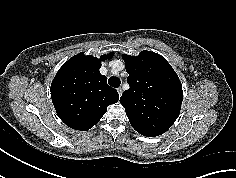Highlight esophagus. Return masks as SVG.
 Returning <instances> with one entry per match:
<instances>
[{
	"label": "esophagus",
	"instance_id": "esophagus-1",
	"mask_svg": "<svg viewBox=\"0 0 236 178\" xmlns=\"http://www.w3.org/2000/svg\"><path fill=\"white\" fill-rule=\"evenodd\" d=\"M117 91H118L119 97H121V95H122V89H121V88H118Z\"/></svg>",
	"mask_w": 236,
	"mask_h": 178
}]
</instances>
